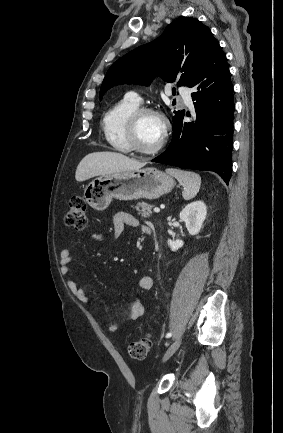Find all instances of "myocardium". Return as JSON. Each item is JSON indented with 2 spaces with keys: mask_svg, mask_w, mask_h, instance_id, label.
Segmentation results:
<instances>
[{
  "mask_svg": "<svg viewBox=\"0 0 283 433\" xmlns=\"http://www.w3.org/2000/svg\"><path fill=\"white\" fill-rule=\"evenodd\" d=\"M147 114L157 116L163 123V131L160 141L157 148L153 151L143 149L138 141L139 123L141 119ZM169 127V120L161 111L153 107H140L137 108L127 119L125 127V138L130 150L135 152L137 155L141 157H156L165 151V144L168 136Z\"/></svg>",
  "mask_w": 283,
  "mask_h": 433,
  "instance_id": "myocardium-1",
  "label": "myocardium"
}]
</instances>
